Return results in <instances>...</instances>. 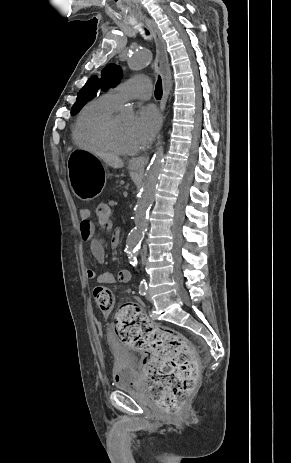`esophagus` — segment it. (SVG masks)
Instances as JSON below:
<instances>
[{
    "label": "esophagus",
    "instance_id": "esophagus-1",
    "mask_svg": "<svg viewBox=\"0 0 291 463\" xmlns=\"http://www.w3.org/2000/svg\"><path fill=\"white\" fill-rule=\"evenodd\" d=\"M145 24L151 31L155 44H156V57H155V66L157 71L162 77V82H163V97L161 100V111H162V116L163 112L165 109L166 101L168 98V94L170 92V87H171V79H170V70L168 66V56H167V51H166V44L165 41L163 40L161 33L156 25V23L151 20L146 18ZM149 161V156L148 155H143L139 156L137 158H132L129 161L130 165L144 168Z\"/></svg>",
    "mask_w": 291,
    "mask_h": 463
}]
</instances>
